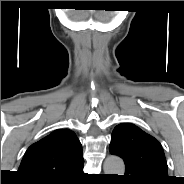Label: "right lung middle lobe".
I'll return each mask as SVG.
<instances>
[{"label": "right lung middle lobe", "mask_w": 184, "mask_h": 184, "mask_svg": "<svg viewBox=\"0 0 184 184\" xmlns=\"http://www.w3.org/2000/svg\"><path fill=\"white\" fill-rule=\"evenodd\" d=\"M40 183H54V182H40Z\"/></svg>", "instance_id": "obj_1"}]
</instances>
